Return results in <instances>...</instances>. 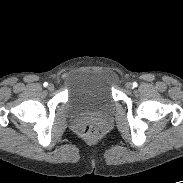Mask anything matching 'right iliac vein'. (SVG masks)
Returning a JSON list of instances; mask_svg holds the SVG:
<instances>
[{
	"label": "right iliac vein",
	"instance_id": "right-iliac-vein-1",
	"mask_svg": "<svg viewBox=\"0 0 183 183\" xmlns=\"http://www.w3.org/2000/svg\"><path fill=\"white\" fill-rule=\"evenodd\" d=\"M54 88H55V87H54V85H53V84H49V85H48V90H49V91H53V90H54Z\"/></svg>",
	"mask_w": 183,
	"mask_h": 183
}]
</instances>
